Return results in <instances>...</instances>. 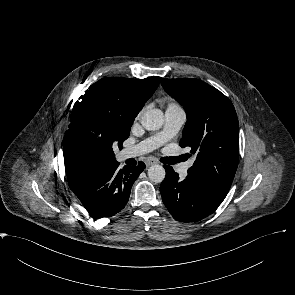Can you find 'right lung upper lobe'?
<instances>
[{
	"label": "right lung upper lobe",
	"mask_w": 295,
	"mask_h": 295,
	"mask_svg": "<svg viewBox=\"0 0 295 295\" xmlns=\"http://www.w3.org/2000/svg\"><path fill=\"white\" fill-rule=\"evenodd\" d=\"M138 100L143 104L155 92L160 77H148L145 79H128ZM63 155L68 185L71 187L88 169L103 162L95 159L82 146L76 143L67 133L63 139Z\"/></svg>",
	"instance_id": "obj_1"
}]
</instances>
